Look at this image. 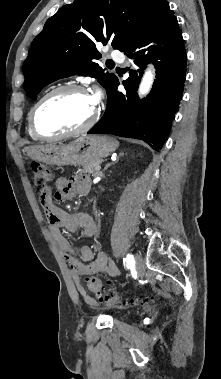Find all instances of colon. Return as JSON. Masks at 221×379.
Segmentation results:
<instances>
[{
    "mask_svg": "<svg viewBox=\"0 0 221 379\" xmlns=\"http://www.w3.org/2000/svg\"><path fill=\"white\" fill-rule=\"evenodd\" d=\"M32 174H33V182L38 188V194L40 199H44L50 193V183L53 180V174L51 170L41 164V163H33L32 164ZM87 286L89 290L96 295V297L100 300L108 299L109 293L105 286L102 284L100 279L96 277H90L86 280ZM145 299H135L132 302L144 301Z\"/></svg>",
    "mask_w": 221,
    "mask_h": 379,
    "instance_id": "1",
    "label": "colon"
}]
</instances>
